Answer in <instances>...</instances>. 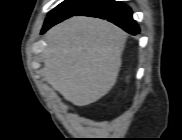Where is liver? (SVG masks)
<instances>
[{
    "mask_svg": "<svg viewBox=\"0 0 182 140\" xmlns=\"http://www.w3.org/2000/svg\"><path fill=\"white\" fill-rule=\"evenodd\" d=\"M126 38L122 29L101 19H67L45 35L42 76L67 101L90 105L114 86Z\"/></svg>",
    "mask_w": 182,
    "mask_h": 140,
    "instance_id": "6515ba94",
    "label": "liver"
}]
</instances>
